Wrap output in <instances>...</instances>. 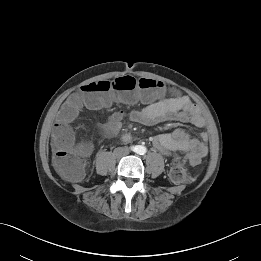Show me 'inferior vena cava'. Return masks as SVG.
Here are the masks:
<instances>
[{
    "instance_id": "obj_1",
    "label": "inferior vena cava",
    "mask_w": 261,
    "mask_h": 261,
    "mask_svg": "<svg viewBox=\"0 0 261 261\" xmlns=\"http://www.w3.org/2000/svg\"><path fill=\"white\" fill-rule=\"evenodd\" d=\"M118 152L120 156H126L129 154L130 151L127 147H125V148H119Z\"/></svg>"
}]
</instances>
